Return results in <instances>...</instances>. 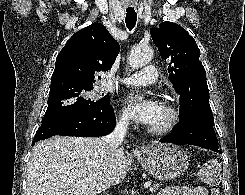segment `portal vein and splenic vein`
I'll use <instances>...</instances> for the list:
<instances>
[{
  "instance_id": "obj_1",
  "label": "portal vein and splenic vein",
  "mask_w": 245,
  "mask_h": 195,
  "mask_svg": "<svg viewBox=\"0 0 245 195\" xmlns=\"http://www.w3.org/2000/svg\"><path fill=\"white\" fill-rule=\"evenodd\" d=\"M78 184H79V185H83V184H84V181H78ZM144 186H145V188L150 187V186H151V182H146V183L144 184Z\"/></svg>"
}]
</instances>
